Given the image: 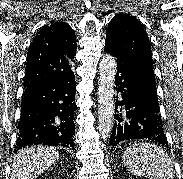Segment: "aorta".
<instances>
[{
  "mask_svg": "<svg viewBox=\"0 0 183 179\" xmlns=\"http://www.w3.org/2000/svg\"><path fill=\"white\" fill-rule=\"evenodd\" d=\"M117 62L112 55L103 56L99 64L98 120L102 139H107L114 125V82Z\"/></svg>",
  "mask_w": 183,
  "mask_h": 179,
  "instance_id": "obj_1",
  "label": "aorta"
}]
</instances>
